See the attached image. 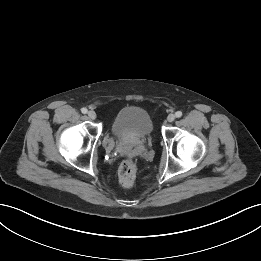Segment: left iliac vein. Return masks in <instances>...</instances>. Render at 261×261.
Wrapping results in <instances>:
<instances>
[{
	"label": "left iliac vein",
	"instance_id": "4c4485c4",
	"mask_svg": "<svg viewBox=\"0 0 261 261\" xmlns=\"http://www.w3.org/2000/svg\"><path fill=\"white\" fill-rule=\"evenodd\" d=\"M175 120V114H169L167 117L168 122H173Z\"/></svg>",
	"mask_w": 261,
	"mask_h": 261
}]
</instances>
